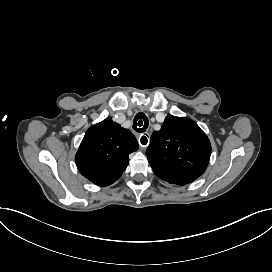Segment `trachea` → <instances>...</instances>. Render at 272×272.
<instances>
[{
  "instance_id": "3493384b",
  "label": "trachea",
  "mask_w": 272,
  "mask_h": 272,
  "mask_svg": "<svg viewBox=\"0 0 272 272\" xmlns=\"http://www.w3.org/2000/svg\"><path fill=\"white\" fill-rule=\"evenodd\" d=\"M147 127L148 118L143 113H138L133 121V129L139 133H143Z\"/></svg>"
}]
</instances>
